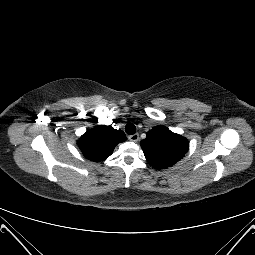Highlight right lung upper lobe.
<instances>
[{
	"instance_id": "cb5924a9",
	"label": "right lung upper lobe",
	"mask_w": 255,
	"mask_h": 255,
	"mask_svg": "<svg viewBox=\"0 0 255 255\" xmlns=\"http://www.w3.org/2000/svg\"><path fill=\"white\" fill-rule=\"evenodd\" d=\"M126 140L122 130L111 126L98 125L83 134L78 140L82 154L89 160L100 162L108 158L115 146Z\"/></svg>"
}]
</instances>
